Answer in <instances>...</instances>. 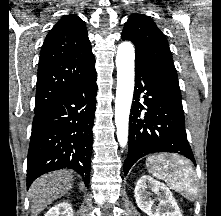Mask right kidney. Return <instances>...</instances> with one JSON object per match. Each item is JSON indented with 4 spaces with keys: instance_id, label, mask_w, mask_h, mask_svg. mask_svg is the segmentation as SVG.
I'll list each match as a JSON object with an SVG mask.
<instances>
[{
    "instance_id": "obj_1",
    "label": "right kidney",
    "mask_w": 221,
    "mask_h": 216,
    "mask_svg": "<svg viewBox=\"0 0 221 216\" xmlns=\"http://www.w3.org/2000/svg\"><path fill=\"white\" fill-rule=\"evenodd\" d=\"M45 216H74V214L71 205L62 202L49 209Z\"/></svg>"
}]
</instances>
